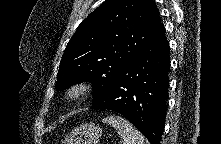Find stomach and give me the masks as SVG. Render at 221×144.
I'll return each instance as SVG.
<instances>
[{"mask_svg":"<svg viewBox=\"0 0 221 144\" xmlns=\"http://www.w3.org/2000/svg\"><path fill=\"white\" fill-rule=\"evenodd\" d=\"M102 136V129L94 123H85L75 127L67 135V144H97Z\"/></svg>","mask_w":221,"mask_h":144,"instance_id":"obj_1","label":"stomach"}]
</instances>
